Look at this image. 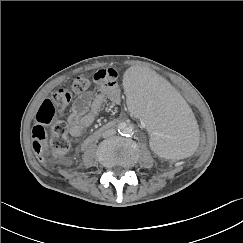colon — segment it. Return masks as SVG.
Returning <instances> with one entry per match:
<instances>
[{
  "label": "colon",
  "instance_id": "obj_1",
  "mask_svg": "<svg viewBox=\"0 0 243 243\" xmlns=\"http://www.w3.org/2000/svg\"><path fill=\"white\" fill-rule=\"evenodd\" d=\"M112 75L107 72L98 74V79L102 81H109ZM89 81L86 78L79 77L74 80L72 89L76 93H84L89 88ZM72 99V93L67 88H60L55 91L49 99H46L40 106L37 119L38 124L32 129V148L38 159L42 162L46 160V152L48 148L46 126L52 124V137L50 139V146L53 152L57 155L67 153L71 147L70 140L67 136L68 126L63 121L52 123L54 115L57 110L65 109ZM209 130L205 127L199 130V140L195 147L196 152L190 157L181 158L179 163L181 165L190 164L197 160L208 145Z\"/></svg>",
  "mask_w": 243,
  "mask_h": 243
}]
</instances>
